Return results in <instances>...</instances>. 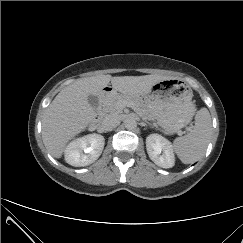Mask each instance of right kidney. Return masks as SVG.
<instances>
[{
  "mask_svg": "<svg viewBox=\"0 0 243 243\" xmlns=\"http://www.w3.org/2000/svg\"><path fill=\"white\" fill-rule=\"evenodd\" d=\"M105 139L99 134H89L71 141L65 148V161L75 167L87 166L101 155Z\"/></svg>",
  "mask_w": 243,
  "mask_h": 243,
  "instance_id": "ca27d5eb",
  "label": "right kidney"
}]
</instances>
